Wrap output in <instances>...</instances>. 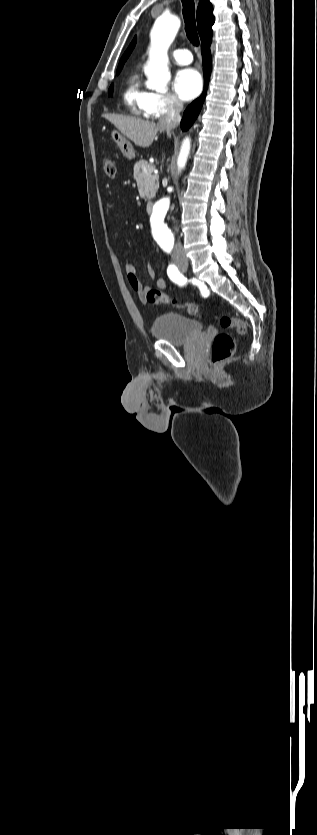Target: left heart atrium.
<instances>
[{"label":"left heart atrium","instance_id":"obj_1","mask_svg":"<svg viewBox=\"0 0 317 835\" xmlns=\"http://www.w3.org/2000/svg\"><path fill=\"white\" fill-rule=\"evenodd\" d=\"M174 88L183 100L195 98L202 89V79L199 72L193 68L179 70L174 78Z\"/></svg>","mask_w":317,"mask_h":835}]
</instances>
